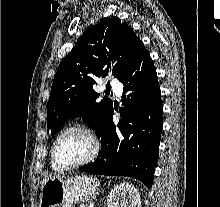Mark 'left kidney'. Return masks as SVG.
I'll list each match as a JSON object with an SVG mask.
<instances>
[{
    "mask_svg": "<svg viewBox=\"0 0 220 207\" xmlns=\"http://www.w3.org/2000/svg\"><path fill=\"white\" fill-rule=\"evenodd\" d=\"M108 207H141L139 191L132 184L123 182L113 188L107 198Z\"/></svg>",
    "mask_w": 220,
    "mask_h": 207,
    "instance_id": "1",
    "label": "left kidney"
}]
</instances>
